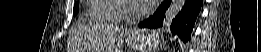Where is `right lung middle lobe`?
<instances>
[{
  "instance_id": "1",
  "label": "right lung middle lobe",
  "mask_w": 261,
  "mask_h": 52,
  "mask_svg": "<svg viewBox=\"0 0 261 52\" xmlns=\"http://www.w3.org/2000/svg\"><path fill=\"white\" fill-rule=\"evenodd\" d=\"M78 8H79V7H78V4L76 3V4H75V6H74V11H73V13H74V14H76V13H77V11H78Z\"/></svg>"
}]
</instances>
